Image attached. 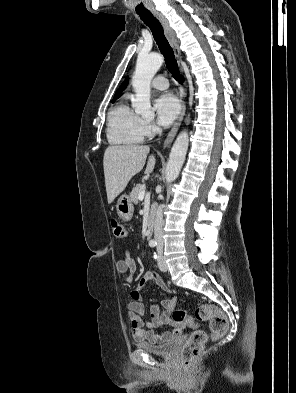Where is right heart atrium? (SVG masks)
<instances>
[{
	"mask_svg": "<svg viewBox=\"0 0 296 393\" xmlns=\"http://www.w3.org/2000/svg\"><path fill=\"white\" fill-rule=\"evenodd\" d=\"M159 128L154 124L153 122L150 121H144L143 122V134L144 137H151L158 133Z\"/></svg>",
	"mask_w": 296,
	"mask_h": 393,
	"instance_id": "1",
	"label": "right heart atrium"
}]
</instances>
